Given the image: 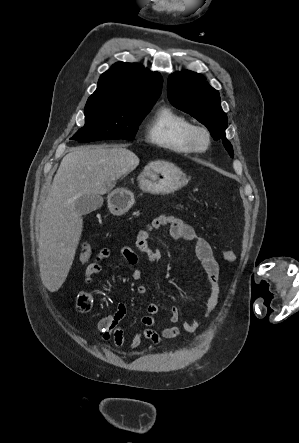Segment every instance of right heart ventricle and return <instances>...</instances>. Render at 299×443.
Listing matches in <instances>:
<instances>
[{
    "label": "right heart ventricle",
    "mask_w": 299,
    "mask_h": 443,
    "mask_svg": "<svg viewBox=\"0 0 299 443\" xmlns=\"http://www.w3.org/2000/svg\"><path fill=\"white\" fill-rule=\"evenodd\" d=\"M193 125L185 115L169 106H163L152 117L146 137L157 147L174 153L190 154L193 151L187 143V134Z\"/></svg>",
    "instance_id": "1"
}]
</instances>
